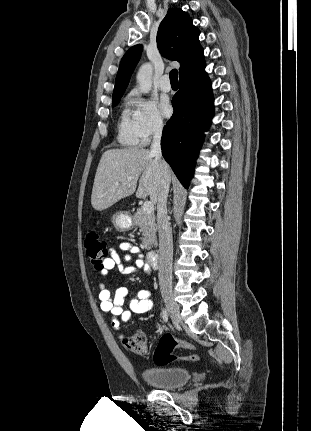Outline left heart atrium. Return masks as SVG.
I'll return each mask as SVG.
<instances>
[{
    "label": "left heart atrium",
    "mask_w": 311,
    "mask_h": 431,
    "mask_svg": "<svg viewBox=\"0 0 311 431\" xmlns=\"http://www.w3.org/2000/svg\"><path fill=\"white\" fill-rule=\"evenodd\" d=\"M161 108L165 117H170L173 111L172 104L168 98H164L161 103Z\"/></svg>",
    "instance_id": "39dd6f15"
}]
</instances>
